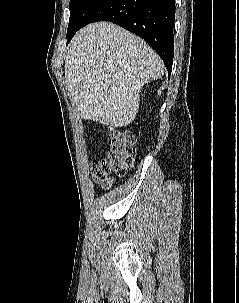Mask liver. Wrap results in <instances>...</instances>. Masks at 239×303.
Wrapping results in <instances>:
<instances>
[{
  "label": "liver",
  "instance_id": "obj_1",
  "mask_svg": "<svg viewBox=\"0 0 239 303\" xmlns=\"http://www.w3.org/2000/svg\"><path fill=\"white\" fill-rule=\"evenodd\" d=\"M163 74L162 60L143 39L110 22L78 31L65 60L68 94L78 114L105 126L130 124L142 87Z\"/></svg>",
  "mask_w": 239,
  "mask_h": 303
}]
</instances>
